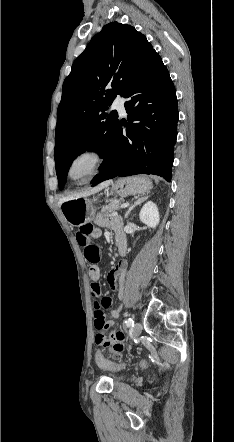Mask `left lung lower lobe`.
I'll list each match as a JSON object with an SVG mask.
<instances>
[{
    "mask_svg": "<svg viewBox=\"0 0 234 442\" xmlns=\"http://www.w3.org/2000/svg\"><path fill=\"white\" fill-rule=\"evenodd\" d=\"M123 97L129 123L119 122L109 155L92 186L116 176L155 174L171 180L178 107L166 66L154 52ZM126 127V136L122 135Z\"/></svg>",
    "mask_w": 234,
    "mask_h": 442,
    "instance_id": "1",
    "label": "left lung lower lobe"
}]
</instances>
